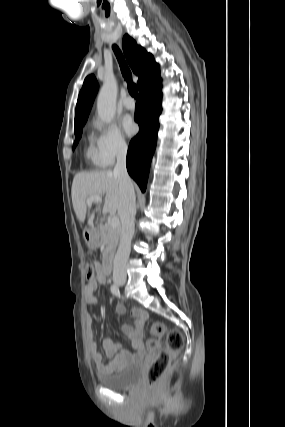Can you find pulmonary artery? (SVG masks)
<instances>
[{"instance_id": "pulmonary-artery-1", "label": "pulmonary artery", "mask_w": 285, "mask_h": 427, "mask_svg": "<svg viewBox=\"0 0 285 427\" xmlns=\"http://www.w3.org/2000/svg\"><path fill=\"white\" fill-rule=\"evenodd\" d=\"M123 105L126 109L133 110L135 108V101L132 98L127 97L123 100Z\"/></svg>"}]
</instances>
